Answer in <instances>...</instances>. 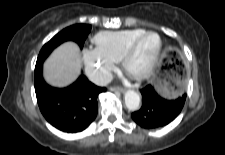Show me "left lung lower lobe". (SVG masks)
<instances>
[{
  "instance_id": "0a47b994",
  "label": "left lung lower lobe",
  "mask_w": 225,
  "mask_h": 155,
  "mask_svg": "<svg viewBox=\"0 0 225 155\" xmlns=\"http://www.w3.org/2000/svg\"><path fill=\"white\" fill-rule=\"evenodd\" d=\"M143 105L132 113L133 120L145 129L158 128L173 121L181 112L186 94L168 100L160 97L151 85L141 89Z\"/></svg>"
}]
</instances>
